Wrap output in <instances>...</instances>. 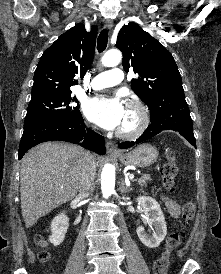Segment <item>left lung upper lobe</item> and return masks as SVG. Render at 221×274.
<instances>
[{"instance_id":"5c2ea615","label":"left lung upper lobe","mask_w":221,"mask_h":274,"mask_svg":"<svg viewBox=\"0 0 221 274\" xmlns=\"http://www.w3.org/2000/svg\"><path fill=\"white\" fill-rule=\"evenodd\" d=\"M116 47L123 53L125 72L138 74L131 88L149 107L151 115L185 101L181 75L171 53L136 23L119 31ZM186 102V101H185Z\"/></svg>"}]
</instances>
